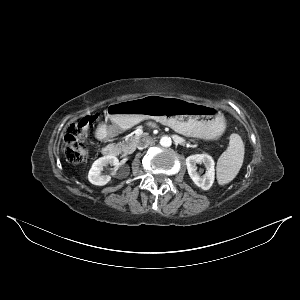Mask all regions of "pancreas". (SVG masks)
<instances>
[{"mask_svg":"<svg viewBox=\"0 0 300 300\" xmlns=\"http://www.w3.org/2000/svg\"><path fill=\"white\" fill-rule=\"evenodd\" d=\"M140 136H130L125 139V141L119 142L117 144L119 151L123 152L124 155L130 154L134 151L139 143Z\"/></svg>","mask_w":300,"mask_h":300,"instance_id":"obj_1","label":"pancreas"}]
</instances>
